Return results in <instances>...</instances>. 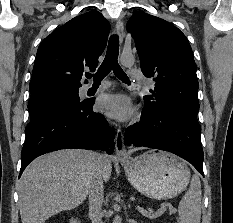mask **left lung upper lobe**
Returning <instances> with one entry per match:
<instances>
[{
  "mask_svg": "<svg viewBox=\"0 0 233 223\" xmlns=\"http://www.w3.org/2000/svg\"><path fill=\"white\" fill-rule=\"evenodd\" d=\"M127 30L135 40L143 74L156 81L152 94L144 97V113L197 114L196 64L185 35L167 21L144 12L129 19Z\"/></svg>",
  "mask_w": 233,
  "mask_h": 223,
  "instance_id": "1",
  "label": "left lung upper lobe"
}]
</instances>
